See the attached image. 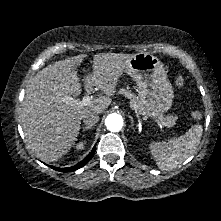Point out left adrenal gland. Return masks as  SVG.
Instances as JSON below:
<instances>
[{
  "instance_id": "left-adrenal-gland-1",
  "label": "left adrenal gland",
  "mask_w": 221,
  "mask_h": 221,
  "mask_svg": "<svg viewBox=\"0 0 221 221\" xmlns=\"http://www.w3.org/2000/svg\"><path fill=\"white\" fill-rule=\"evenodd\" d=\"M129 118L131 120V125L129 126V128L134 130L135 129L134 128V120H133V118L131 116H129Z\"/></svg>"
}]
</instances>
